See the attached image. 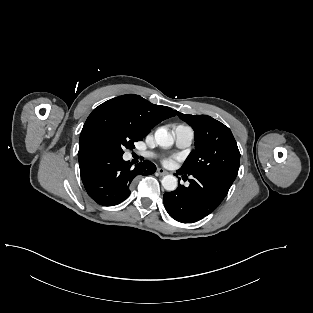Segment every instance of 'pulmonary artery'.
Here are the masks:
<instances>
[{
	"label": "pulmonary artery",
	"mask_w": 313,
	"mask_h": 313,
	"mask_svg": "<svg viewBox=\"0 0 313 313\" xmlns=\"http://www.w3.org/2000/svg\"><path fill=\"white\" fill-rule=\"evenodd\" d=\"M176 145L179 148H186L191 145L194 139V132L192 128L185 125H179L174 129ZM145 157H151V153H142Z\"/></svg>",
	"instance_id": "pulmonary-artery-1"
}]
</instances>
